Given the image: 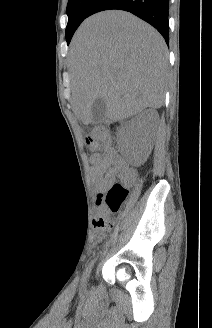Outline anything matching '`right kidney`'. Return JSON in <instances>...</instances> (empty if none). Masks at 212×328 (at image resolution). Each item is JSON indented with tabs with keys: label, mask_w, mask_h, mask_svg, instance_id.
<instances>
[{
	"label": "right kidney",
	"mask_w": 212,
	"mask_h": 328,
	"mask_svg": "<svg viewBox=\"0 0 212 328\" xmlns=\"http://www.w3.org/2000/svg\"><path fill=\"white\" fill-rule=\"evenodd\" d=\"M158 122L157 111L147 109L125 123L123 127L125 138L133 151H138L144 147L147 139L155 132Z\"/></svg>",
	"instance_id": "right-kidney-1"
}]
</instances>
